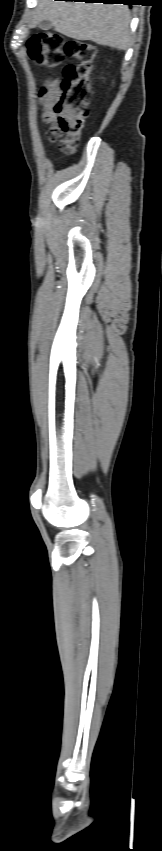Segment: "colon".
Listing matches in <instances>:
<instances>
[{
	"mask_svg": "<svg viewBox=\"0 0 162 851\" xmlns=\"http://www.w3.org/2000/svg\"><path fill=\"white\" fill-rule=\"evenodd\" d=\"M29 57L38 64L55 67L69 56L76 64L64 69L61 94L54 106L56 123L74 144H77L88 116L90 98L89 80L97 55L95 45L67 40L56 32H43L31 36L26 44Z\"/></svg>",
	"mask_w": 162,
	"mask_h": 851,
	"instance_id": "obj_1",
	"label": "colon"
}]
</instances>
